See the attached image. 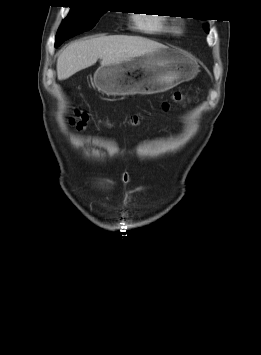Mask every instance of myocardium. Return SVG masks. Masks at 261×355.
Wrapping results in <instances>:
<instances>
[{"label": "myocardium", "instance_id": "myocardium-1", "mask_svg": "<svg viewBox=\"0 0 261 355\" xmlns=\"http://www.w3.org/2000/svg\"><path fill=\"white\" fill-rule=\"evenodd\" d=\"M182 25H176L174 26L173 30L176 32V33H181L182 32Z\"/></svg>", "mask_w": 261, "mask_h": 355}]
</instances>
